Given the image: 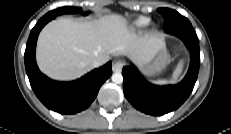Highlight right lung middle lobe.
I'll return each instance as SVG.
<instances>
[{"mask_svg": "<svg viewBox=\"0 0 231 134\" xmlns=\"http://www.w3.org/2000/svg\"><path fill=\"white\" fill-rule=\"evenodd\" d=\"M81 11L80 8H76V7H61L58 9H55L53 11L48 12L45 16L46 17H56L58 15L61 14H65V13H79ZM88 13H84V15H87Z\"/></svg>", "mask_w": 231, "mask_h": 134, "instance_id": "1", "label": "right lung middle lobe"}]
</instances>
